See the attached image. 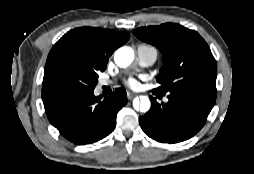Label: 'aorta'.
<instances>
[{
	"label": "aorta",
	"instance_id": "1",
	"mask_svg": "<svg viewBox=\"0 0 254 174\" xmlns=\"http://www.w3.org/2000/svg\"><path fill=\"white\" fill-rule=\"evenodd\" d=\"M134 60V52L129 47L119 48L114 55V61L117 66L121 68L128 67ZM133 106L136 110L146 113L151 107V102L147 96H140V98H135L133 101Z\"/></svg>",
	"mask_w": 254,
	"mask_h": 174
}]
</instances>
